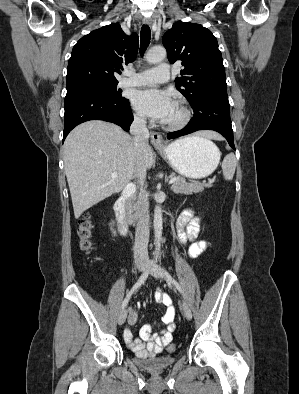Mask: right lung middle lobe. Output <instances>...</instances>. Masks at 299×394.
<instances>
[{
    "label": "right lung middle lobe",
    "instance_id": "right-lung-middle-lobe-1",
    "mask_svg": "<svg viewBox=\"0 0 299 394\" xmlns=\"http://www.w3.org/2000/svg\"><path fill=\"white\" fill-rule=\"evenodd\" d=\"M117 83L118 82L88 83L77 87L67 88V93L78 91H99L111 95L117 101H121L124 97H122L121 92L116 89Z\"/></svg>",
    "mask_w": 299,
    "mask_h": 394
}]
</instances>
